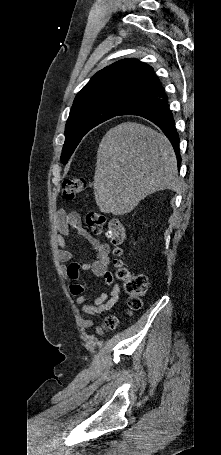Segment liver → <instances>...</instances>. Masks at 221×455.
Listing matches in <instances>:
<instances>
[{
	"mask_svg": "<svg viewBox=\"0 0 221 455\" xmlns=\"http://www.w3.org/2000/svg\"><path fill=\"white\" fill-rule=\"evenodd\" d=\"M177 160L165 135L135 122L111 128L97 150L94 195L100 211L131 212L149 194L175 190Z\"/></svg>",
	"mask_w": 221,
	"mask_h": 455,
	"instance_id": "1",
	"label": "liver"
}]
</instances>
